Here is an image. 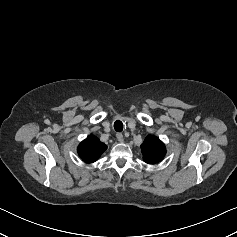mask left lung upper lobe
Masks as SVG:
<instances>
[{"label": "left lung upper lobe", "instance_id": "obj_1", "mask_svg": "<svg viewBox=\"0 0 237 237\" xmlns=\"http://www.w3.org/2000/svg\"><path fill=\"white\" fill-rule=\"evenodd\" d=\"M143 159L148 164H155L160 162L165 154L166 148L164 143L155 136H147L141 145Z\"/></svg>", "mask_w": 237, "mask_h": 237}]
</instances>
